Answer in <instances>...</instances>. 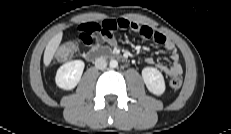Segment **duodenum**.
I'll list each match as a JSON object with an SVG mask.
<instances>
[{"mask_svg":"<svg viewBox=\"0 0 231 134\" xmlns=\"http://www.w3.org/2000/svg\"><path fill=\"white\" fill-rule=\"evenodd\" d=\"M119 57H121L119 53H116L108 48H103V47L94 48L90 50L86 56L87 60L89 61H96L102 58H119Z\"/></svg>","mask_w":231,"mask_h":134,"instance_id":"obj_1","label":"duodenum"}]
</instances>
